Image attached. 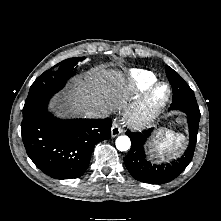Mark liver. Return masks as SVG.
<instances>
[{
	"mask_svg": "<svg viewBox=\"0 0 221 221\" xmlns=\"http://www.w3.org/2000/svg\"><path fill=\"white\" fill-rule=\"evenodd\" d=\"M125 93V80L120 72L93 68L86 72L84 78L76 79L51 106H58L62 116L87 115L91 110L107 116L113 108L122 104Z\"/></svg>",
	"mask_w": 221,
	"mask_h": 221,
	"instance_id": "6515ba94",
	"label": "liver"
}]
</instances>
